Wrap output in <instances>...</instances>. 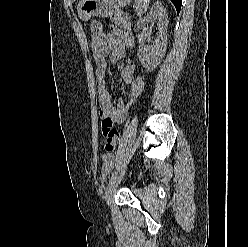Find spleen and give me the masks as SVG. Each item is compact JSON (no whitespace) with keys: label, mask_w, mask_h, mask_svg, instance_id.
<instances>
[{"label":"spleen","mask_w":248,"mask_h":247,"mask_svg":"<svg viewBox=\"0 0 248 247\" xmlns=\"http://www.w3.org/2000/svg\"><path fill=\"white\" fill-rule=\"evenodd\" d=\"M150 0H136L135 12L141 17L149 6Z\"/></svg>","instance_id":"3e777b00"}]
</instances>
